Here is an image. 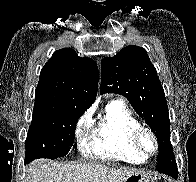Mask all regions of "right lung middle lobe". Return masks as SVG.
Instances as JSON below:
<instances>
[{
	"label": "right lung middle lobe",
	"instance_id": "right-lung-middle-lobe-1",
	"mask_svg": "<svg viewBox=\"0 0 196 182\" xmlns=\"http://www.w3.org/2000/svg\"><path fill=\"white\" fill-rule=\"evenodd\" d=\"M82 114L66 108L33 111L25 141V163L37 158L65 156L73 145L75 126Z\"/></svg>",
	"mask_w": 196,
	"mask_h": 182
}]
</instances>
